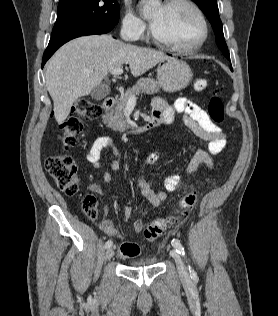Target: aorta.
I'll return each instance as SVG.
<instances>
[{"label": "aorta", "mask_w": 278, "mask_h": 316, "mask_svg": "<svg viewBox=\"0 0 278 316\" xmlns=\"http://www.w3.org/2000/svg\"><path fill=\"white\" fill-rule=\"evenodd\" d=\"M143 2H144L143 14L145 16L150 15L158 5V0H143Z\"/></svg>", "instance_id": "obj_1"}]
</instances>
